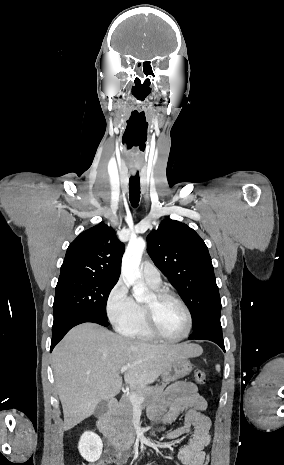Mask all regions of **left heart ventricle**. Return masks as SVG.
I'll return each instance as SVG.
<instances>
[{
	"label": "left heart ventricle",
	"mask_w": 284,
	"mask_h": 465,
	"mask_svg": "<svg viewBox=\"0 0 284 465\" xmlns=\"http://www.w3.org/2000/svg\"><path fill=\"white\" fill-rule=\"evenodd\" d=\"M153 296L146 302L152 301ZM157 329L166 338H179L187 328V317L183 309L172 301L163 302L157 311Z\"/></svg>",
	"instance_id": "obj_1"
}]
</instances>
